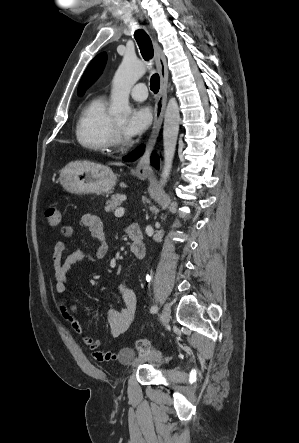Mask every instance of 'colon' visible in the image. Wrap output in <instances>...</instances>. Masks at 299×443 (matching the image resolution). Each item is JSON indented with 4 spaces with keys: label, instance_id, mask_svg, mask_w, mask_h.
<instances>
[{
    "label": "colon",
    "instance_id": "obj_1",
    "mask_svg": "<svg viewBox=\"0 0 299 443\" xmlns=\"http://www.w3.org/2000/svg\"><path fill=\"white\" fill-rule=\"evenodd\" d=\"M46 222L49 227H57L61 222V212L56 203L51 204L45 211ZM140 355L148 362L163 366L167 364V360L163 359L159 353L153 350L151 345L144 339H138L135 343ZM129 353L125 351L123 357H128Z\"/></svg>",
    "mask_w": 299,
    "mask_h": 443
}]
</instances>
